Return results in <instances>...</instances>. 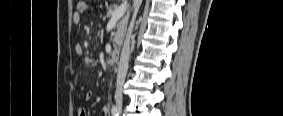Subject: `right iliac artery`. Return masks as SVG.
Returning <instances> with one entry per match:
<instances>
[{
	"label": "right iliac artery",
	"mask_w": 283,
	"mask_h": 116,
	"mask_svg": "<svg viewBox=\"0 0 283 116\" xmlns=\"http://www.w3.org/2000/svg\"><path fill=\"white\" fill-rule=\"evenodd\" d=\"M111 112H112V115H113V116H118V115H119L118 109H117V107H115V106L112 107Z\"/></svg>",
	"instance_id": "82829eb1"
}]
</instances>
